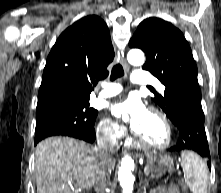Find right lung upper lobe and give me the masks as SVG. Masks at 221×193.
<instances>
[{
    "label": "right lung upper lobe",
    "instance_id": "cb5924a9",
    "mask_svg": "<svg viewBox=\"0 0 221 193\" xmlns=\"http://www.w3.org/2000/svg\"><path fill=\"white\" fill-rule=\"evenodd\" d=\"M114 49L106 23L96 15L86 16L68 27L47 58L38 104L87 101L94 81L108 75Z\"/></svg>",
    "mask_w": 221,
    "mask_h": 193
}]
</instances>
